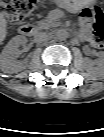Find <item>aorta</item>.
I'll list each match as a JSON object with an SVG mask.
<instances>
[{
    "label": "aorta",
    "mask_w": 104,
    "mask_h": 137,
    "mask_svg": "<svg viewBox=\"0 0 104 137\" xmlns=\"http://www.w3.org/2000/svg\"><path fill=\"white\" fill-rule=\"evenodd\" d=\"M55 35L58 39L64 40L68 37V32H66L65 30H57L55 32Z\"/></svg>",
    "instance_id": "762f6f07"
}]
</instances>
